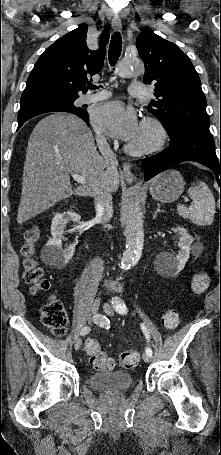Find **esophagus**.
<instances>
[{
	"mask_svg": "<svg viewBox=\"0 0 221 455\" xmlns=\"http://www.w3.org/2000/svg\"><path fill=\"white\" fill-rule=\"evenodd\" d=\"M112 28L114 31H120L122 29V22L119 16H114L112 19ZM122 175L124 179L131 183L135 180V176L131 172V166L128 163L123 164Z\"/></svg>",
	"mask_w": 221,
	"mask_h": 455,
	"instance_id": "1",
	"label": "esophagus"
}]
</instances>
